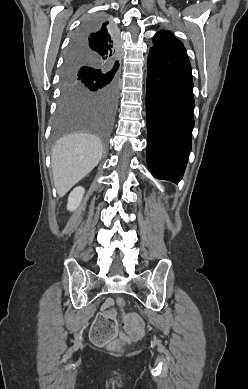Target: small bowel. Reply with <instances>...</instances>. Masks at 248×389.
I'll return each mask as SVG.
<instances>
[{
    "label": "small bowel",
    "mask_w": 248,
    "mask_h": 389,
    "mask_svg": "<svg viewBox=\"0 0 248 389\" xmlns=\"http://www.w3.org/2000/svg\"><path fill=\"white\" fill-rule=\"evenodd\" d=\"M113 304L114 300L112 298L106 299L103 304V311L109 318H115V312L110 310V307H112ZM122 325L126 334H128L132 339L139 338L143 333L142 321L139 316L134 313L124 314Z\"/></svg>",
    "instance_id": "1"
}]
</instances>
